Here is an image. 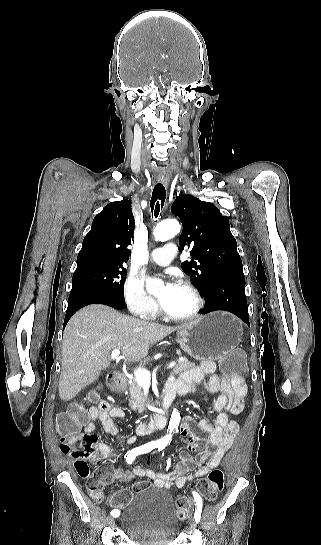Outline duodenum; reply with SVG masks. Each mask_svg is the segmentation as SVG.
I'll list each match as a JSON object with an SVG mask.
<instances>
[{
	"mask_svg": "<svg viewBox=\"0 0 321 545\" xmlns=\"http://www.w3.org/2000/svg\"><path fill=\"white\" fill-rule=\"evenodd\" d=\"M124 384L125 378L120 373H111L107 377V386L114 392L121 391ZM177 393L182 394L180 388L175 382H170L165 386L159 399L161 411L155 413L147 419H144L137 425L136 433L138 435L159 430L165 425L166 416L164 411Z\"/></svg>",
	"mask_w": 321,
	"mask_h": 545,
	"instance_id": "obj_1",
	"label": "duodenum"
}]
</instances>
